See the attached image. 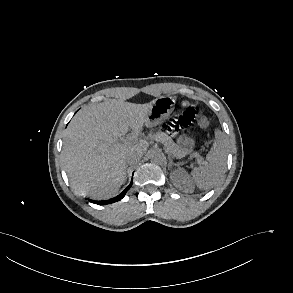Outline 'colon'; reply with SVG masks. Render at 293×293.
<instances>
[{
  "label": "colon",
  "mask_w": 293,
  "mask_h": 293,
  "mask_svg": "<svg viewBox=\"0 0 293 293\" xmlns=\"http://www.w3.org/2000/svg\"><path fill=\"white\" fill-rule=\"evenodd\" d=\"M185 108L184 112L174 119L169 125L168 130L173 134H178L187 126H189L195 119L198 120L200 127L207 130L209 127V121L207 118L199 111V108L195 104L183 103Z\"/></svg>",
  "instance_id": "5ec220e1"
}]
</instances>
